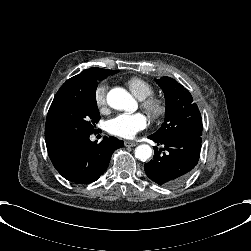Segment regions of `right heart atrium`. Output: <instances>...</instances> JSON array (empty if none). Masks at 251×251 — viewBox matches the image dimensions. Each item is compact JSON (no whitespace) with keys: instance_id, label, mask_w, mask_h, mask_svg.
Segmentation results:
<instances>
[{"instance_id":"1","label":"right heart atrium","mask_w":251,"mask_h":251,"mask_svg":"<svg viewBox=\"0 0 251 251\" xmlns=\"http://www.w3.org/2000/svg\"><path fill=\"white\" fill-rule=\"evenodd\" d=\"M107 87L105 84H99L94 90V103L99 110H103L107 104Z\"/></svg>"}]
</instances>
